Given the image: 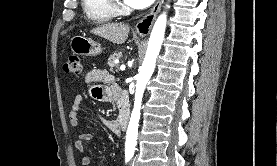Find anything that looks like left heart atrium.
I'll list each match as a JSON object with an SVG mask.
<instances>
[{
    "label": "left heart atrium",
    "instance_id": "left-heart-atrium-1",
    "mask_svg": "<svg viewBox=\"0 0 277 166\" xmlns=\"http://www.w3.org/2000/svg\"><path fill=\"white\" fill-rule=\"evenodd\" d=\"M125 3L133 8L143 9L150 6L154 0H124Z\"/></svg>",
    "mask_w": 277,
    "mask_h": 166
}]
</instances>
